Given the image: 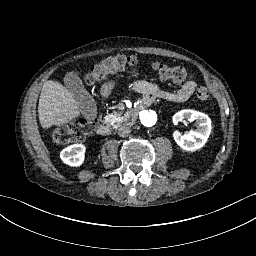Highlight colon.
<instances>
[{"instance_id": "obj_1", "label": "colon", "mask_w": 256, "mask_h": 256, "mask_svg": "<svg viewBox=\"0 0 256 256\" xmlns=\"http://www.w3.org/2000/svg\"><path fill=\"white\" fill-rule=\"evenodd\" d=\"M135 56L113 55L101 59L95 64L87 76L90 84L103 82L110 75L119 71L131 70L137 66ZM154 70L163 79L174 81H185L192 78V75L183 67H170L165 64L157 63ZM196 96L199 100L208 102L212 99L211 93L204 87H198ZM94 129V123L88 119L71 122L68 125L55 128L51 131V138L58 143L71 144L84 141Z\"/></svg>"}]
</instances>
